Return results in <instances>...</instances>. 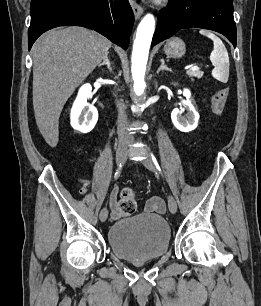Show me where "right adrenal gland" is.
<instances>
[{"label": "right adrenal gland", "instance_id": "right-adrenal-gland-1", "mask_svg": "<svg viewBox=\"0 0 261 306\" xmlns=\"http://www.w3.org/2000/svg\"><path fill=\"white\" fill-rule=\"evenodd\" d=\"M107 66L108 70L111 72L112 71V68H111V64H110V60L108 58V56L104 59V61L98 65V67H101V66Z\"/></svg>", "mask_w": 261, "mask_h": 306}]
</instances>
